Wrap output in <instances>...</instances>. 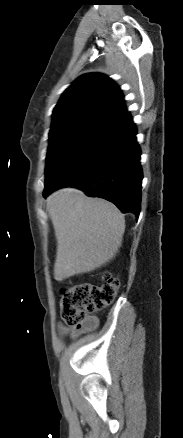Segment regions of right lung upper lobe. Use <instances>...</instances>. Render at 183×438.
Returning a JSON list of instances; mask_svg holds the SVG:
<instances>
[{"label":"right lung upper lobe","mask_w":183,"mask_h":438,"mask_svg":"<svg viewBox=\"0 0 183 438\" xmlns=\"http://www.w3.org/2000/svg\"><path fill=\"white\" fill-rule=\"evenodd\" d=\"M116 83L99 73L79 77L66 89L53 111L50 133L88 126L100 128L127 113Z\"/></svg>","instance_id":"1"}]
</instances>
